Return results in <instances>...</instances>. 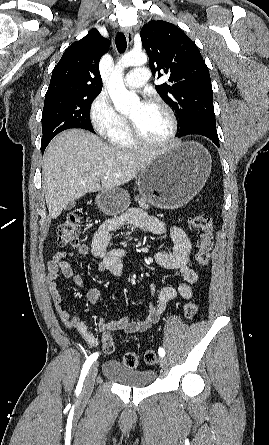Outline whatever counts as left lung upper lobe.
Wrapping results in <instances>:
<instances>
[{"instance_id":"obj_1","label":"left lung upper lobe","mask_w":269,"mask_h":445,"mask_svg":"<svg viewBox=\"0 0 269 445\" xmlns=\"http://www.w3.org/2000/svg\"><path fill=\"white\" fill-rule=\"evenodd\" d=\"M140 36L153 75H169L156 90L177 113L180 133L196 125H216L209 71L195 43L162 20L145 24Z\"/></svg>"}]
</instances>
